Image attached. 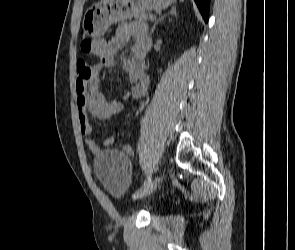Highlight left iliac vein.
<instances>
[{"label":"left iliac vein","mask_w":295,"mask_h":250,"mask_svg":"<svg viewBox=\"0 0 295 250\" xmlns=\"http://www.w3.org/2000/svg\"><path fill=\"white\" fill-rule=\"evenodd\" d=\"M162 181V176L159 175L155 179H153L148 186L145 187V189L141 192V194L135 198V199H143L146 196H148L156 187L157 185Z\"/></svg>","instance_id":"left-iliac-vein-1"}]
</instances>
